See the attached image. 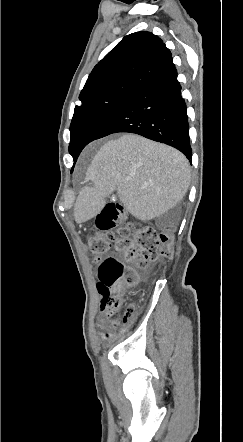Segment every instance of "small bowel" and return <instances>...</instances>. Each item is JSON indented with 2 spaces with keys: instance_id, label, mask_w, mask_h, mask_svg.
I'll return each mask as SVG.
<instances>
[{
  "instance_id": "obj_1",
  "label": "small bowel",
  "mask_w": 243,
  "mask_h": 442,
  "mask_svg": "<svg viewBox=\"0 0 243 442\" xmlns=\"http://www.w3.org/2000/svg\"><path fill=\"white\" fill-rule=\"evenodd\" d=\"M113 316L112 311L108 307L102 308L101 318L99 320V328L102 330L103 336H105L110 330L112 323L110 318Z\"/></svg>"
}]
</instances>
